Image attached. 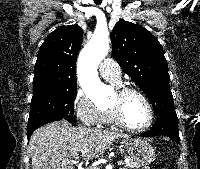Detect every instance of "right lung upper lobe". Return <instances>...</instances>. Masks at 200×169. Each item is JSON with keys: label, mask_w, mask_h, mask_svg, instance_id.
<instances>
[{"label": "right lung upper lobe", "mask_w": 200, "mask_h": 169, "mask_svg": "<svg viewBox=\"0 0 200 169\" xmlns=\"http://www.w3.org/2000/svg\"><path fill=\"white\" fill-rule=\"evenodd\" d=\"M78 25L62 26L41 45L34 69V89L60 87L76 81V58L82 44Z\"/></svg>", "instance_id": "cb5924a9"}]
</instances>
